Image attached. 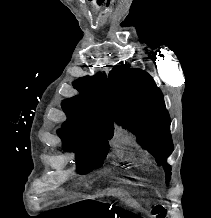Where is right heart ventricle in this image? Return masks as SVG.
Instances as JSON below:
<instances>
[{
    "mask_svg": "<svg viewBox=\"0 0 211 218\" xmlns=\"http://www.w3.org/2000/svg\"><path fill=\"white\" fill-rule=\"evenodd\" d=\"M125 157H128V162H135L138 159V154H133L132 157V147H124ZM148 164V161L136 160V165Z\"/></svg>",
    "mask_w": 211,
    "mask_h": 218,
    "instance_id": "right-heart-ventricle-1",
    "label": "right heart ventricle"
}]
</instances>
